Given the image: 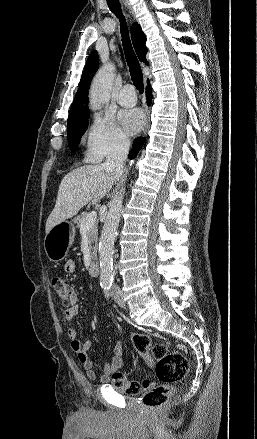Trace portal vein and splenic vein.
Returning a JSON list of instances; mask_svg holds the SVG:
<instances>
[{"label":"portal vein and splenic vein","mask_w":257,"mask_h":439,"mask_svg":"<svg viewBox=\"0 0 257 439\" xmlns=\"http://www.w3.org/2000/svg\"><path fill=\"white\" fill-rule=\"evenodd\" d=\"M96 218H97V213L95 211H92L85 219L82 220L81 228L92 227L93 224L96 222Z\"/></svg>","instance_id":"18ae733b"}]
</instances>
